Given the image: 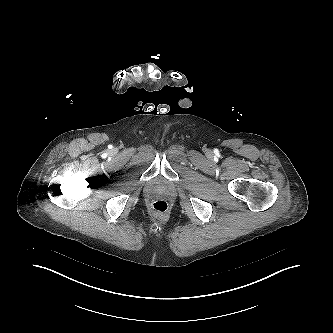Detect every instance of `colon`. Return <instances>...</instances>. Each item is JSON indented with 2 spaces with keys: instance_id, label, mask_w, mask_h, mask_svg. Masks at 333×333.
Returning a JSON list of instances; mask_svg holds the SVG:
<instances>
[{
  "instance_id": "5ec220e1",
  "label": "colon",
  "mask_w": 333,
  "mask_h": 333,
  "mask_svg": "<svg viewBox=\"0 0 333 333\" xmlns=\"http://www.w3.org/2000/svg\"><path fill=\"white\" fill-rule=\"evenodd\" d=\"M151 210L157 215H166L169 211V205L165 200L157 199L151 203Z\"/></svg>"
}]
</instances>
